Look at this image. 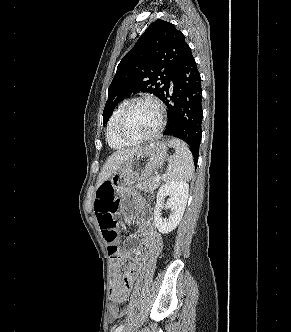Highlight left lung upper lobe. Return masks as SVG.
<instances>
[{
    "label": "left lung upper lobe",
    "instance_id": "obj_1",
    "mask_svg": "<svg viewBox=\"0 0 291 332\" xmlns=\"http://www.w3.org/2000/svg\"><path fill=\"white\" fill-rule=\"evenodd\" d=\"M188 44L181 31L161 19L153 22L117 67L103 111L105 124L116 105L133 92L162 98Z\"/></svg>",
    "mask_w": 291,
    "mask_h": 332
}]
</instances>
